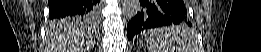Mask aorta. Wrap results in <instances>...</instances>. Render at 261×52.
Listing matches in <instances>:
<instances>
[{
	"instance_id": "762f6f07",
	"label": "aorta",
	"mask_w": 261,
	"mask_h": 52,
	"mask_svg": "<svg viewBox=\"0 0 261 52\" xmlns=\"http://www.w3.org/2000/svg\"><path fill=\"white\" fill-rule=\"evenodd\" d=\"M122 11L126 19H133L140 11L139 0H124Z\"/></svg>"
}]
</instances>
